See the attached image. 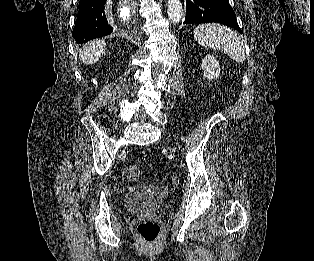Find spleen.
Listing matches in <instances>:
<instances>
[{
	"label": "spleen",
	"instance_id": "1",
	"mask_svg": "<svg viewBox=\"0 0 314 261\" xmlns=\"http://www.w3.org/2000/svg\"><path fill=\"white\" fill-rule=\"evenodd\" d=\"M194 38L199 45L222 51L238 63L245 60V47L241 37L224 25L216 23L198 25L194 29Z\"/></svg>",
	"mask_w": 314,
	"mask_h": 261
}]
</instances>
